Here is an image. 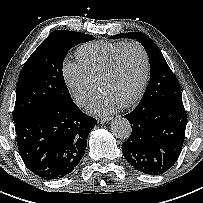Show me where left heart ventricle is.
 I'll return each instance as SVG.
<instances>
[{
	"label": "left heart ventricle",
	"mask_w": 203,
	"mask_h": 203,
	"mask_svg": "<svg viewBox=\"0 0 203 203\" xmlns=\"http://www.w3.org/2000/svg\"><path fill=\"white\" fill-rule=\"evenodd\" d=\"M144 72V61L141 52L134 46L123 50L118 64L107 78L101 91L121 103L131 99L139 89Z\"/></svg>",
	"instance_id": "b2bd125f"
}]
</instances>
